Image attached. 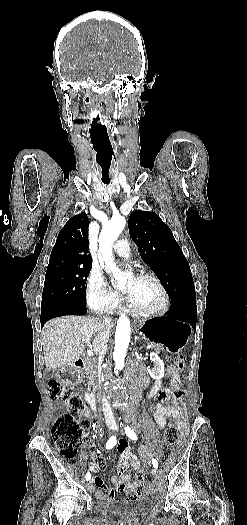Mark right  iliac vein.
Returning <instances> with one entry per match:
<instances>
[{"instance_id":"1","label":"right iliac vein","mask_w":247,"mask_h":525,"mask_svg":"<svg viewBox=\"0 0 247 525\" xmlns=\"http://www.w3.org/2000/svg\"><path fill=\"white\" fill-rule=\"evenodd\" d=\"M109 428H110V429H113V427H109ZM92 483H93V479H91V481H90V484H92Z\"/></svg>"}]
</instances>
